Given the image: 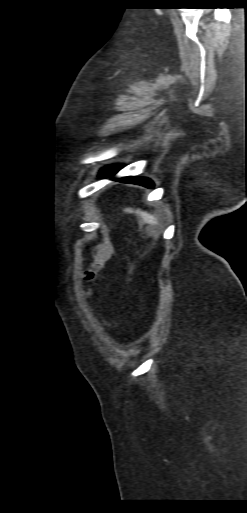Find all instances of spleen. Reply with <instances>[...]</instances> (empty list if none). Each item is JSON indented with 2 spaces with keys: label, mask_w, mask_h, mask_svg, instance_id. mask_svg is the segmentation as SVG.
<instances>
[{
  "label": "spleen",
  "mask_w": 247,
  "mask_h": 513,
  "mask_svg": "<svg viewBox=\"0 0 247 513\" xmlns=\"http://www.w3.org/2000/svg\"><path fill=\"white\" fill-rule=\"evenodd\" d=\"M126 211H127V212H130V213H131V212H134V213L138 214V215L142 218V220H143L144 222H147V223H149V224H151V225H154V224H156V223H157V219H156V217H155L154 215H152V214H150V213L146 212V211H142V210H140V209L133 210V209H131V208H126Z\"/></svg>",
  "instance_id": "obj_1"
}]
</instances>
